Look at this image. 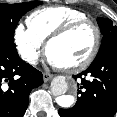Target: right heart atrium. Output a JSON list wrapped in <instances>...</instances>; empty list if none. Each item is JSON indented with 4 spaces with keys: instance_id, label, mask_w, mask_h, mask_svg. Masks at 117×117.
<instances>
[{
    "instance_id": "d8ad5b80",
    "label": "right heart atrium",
    "mask_w": 117,
    "mask_h": 117,
    "mask_svg": "<svg viewBox=\"0 0 117 117\" xmlns=\"http://www.w3.org/2000/svg\"><path fill=\"white\" fill-rule=\"evenodd\" d=\"M14 43L21 58L35 65L43 53V43L29 29L17 24L14 29Z\"/></svg>"
}]
</instances>
